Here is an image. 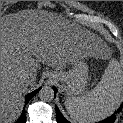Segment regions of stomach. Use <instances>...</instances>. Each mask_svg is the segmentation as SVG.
<instances>
[{
	"mask_svg": "<svg viewBox=\"0 0 123 123\" xmlns=\"http://www.w3.org/2000/svg\"><path fill=\"white\" fill-rule=\"evenodd\" d=\"M49 77L67 85V95H79L84 92L88 83V65L83 59H77L69 70L56 69Z\"/></svg>",
	"mask_w": 123,
	"mask_h": 123,
	"instance_id": "obj_1",
	"label": "stomach"
}]
</instances>
